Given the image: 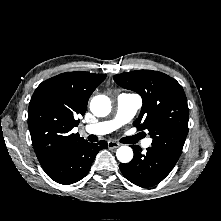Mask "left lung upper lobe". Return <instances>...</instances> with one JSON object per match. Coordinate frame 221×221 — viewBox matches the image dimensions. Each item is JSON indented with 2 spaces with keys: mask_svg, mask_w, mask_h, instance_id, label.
<instances>
[{
  "mask_svg": "<svg viewBox=\"0 0 221 221\" xmlns=\"http://www.w3.org/2000/svg\"><path fill=\"white\" fill-rule=\"evenodd\" d=\"M114 80L142 97V110L134 126L149 131L153 147L180 157L188 134L189 118L182 86L170 76L151 70L116 74Z\"/></svg>",
  "mask_w": 221,
  "mask_h": 221,
  "instance_id": "1",
  "label": "left lung upper lobe"
}]
</instances>
